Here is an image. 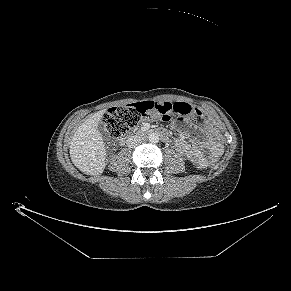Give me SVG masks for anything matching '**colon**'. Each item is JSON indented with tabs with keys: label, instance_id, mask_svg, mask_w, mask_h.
<instances>
[{
	"label": "colon",
	"instance_id": "5ec220e1",
	"mask_svg": "<svg viewBox=\"0 0 291 291\" xmlns=\"http://www.w3.org/2000/svg\"><path fill=\"white\" fill-rule=\"evenodd\" d=\"M201 116L200 110L184 102L146 101L124 107L109 109L103 116L105 132L112 138H121L143 120L169 119L171 116ZM217 164V157L211 156L210 167Z\"/></svg>",
	"mask_w": 291,
	"mask_h": 291
}]
</instances>
